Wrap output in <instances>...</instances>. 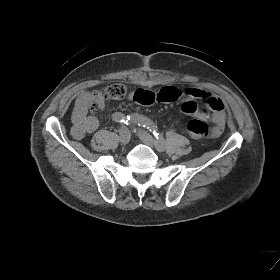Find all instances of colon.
Returning a JSON list of instances; mask_svg holds the SVG:
<instances>
[{
    "instance_id": "5ec220e1",
    "label": "colon",
    "mask_w": 280,
    "mask_h": 280,
    "mask_svg": "<svg viewBox=\"0 0 280 280\" xmlns=\"http://www.w3.org/2000/svg\"><path fill=\"white\" fill-rule=\"evenodd\" d=\"M126 94V88L121 83H115L109 85L101 91H95L91 94V100L89 108L94 111L96 110L97 103L104 99H121ZM187 130L192 136L196 137H208L211 135H218L222 131L217 129L215 126H210L206 121L200 119H192L187 124Z\"/></svg>"
}]
</instances>
